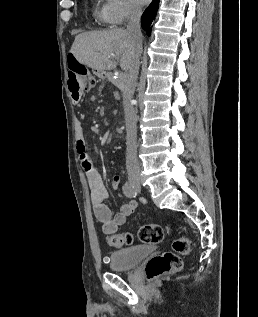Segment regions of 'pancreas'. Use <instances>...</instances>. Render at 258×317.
<instances>
[{"instance_id":"cf45deb5","label":"pancreas","mask_w":258,"mask_h":317,"mask_svg":"<svg viewBox=\"0 0 258 317\" xmlns=\"http://www.w3.org/2000/svg\"><path fill=\"white\" fill-rule=\"evenodd\" d=\"M124 82V79L122 77H117V78H111V83H117V84H122ZM120 88H122L123 86L120 85Z\"/></svg>"}]
</instances>
